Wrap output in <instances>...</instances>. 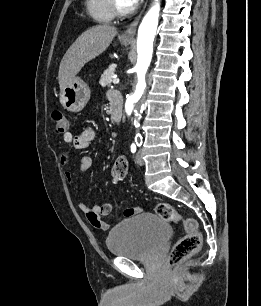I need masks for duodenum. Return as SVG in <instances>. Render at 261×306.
<instances>
[{"mask_svg":"<svg viewBox=\"0 0 261 306\" xmlns=\"http://www.w3.org/2000/svg\"><path fill=\"white\" fill-rule=\"evenodd\" d=\"M109 113L113 122L120 123L122 120V102L118 99L112 100Z\"/></svg>","mask_w":261,"mask_h":306,"instance_id":"1","label":"duodenum"}]
</instances>
